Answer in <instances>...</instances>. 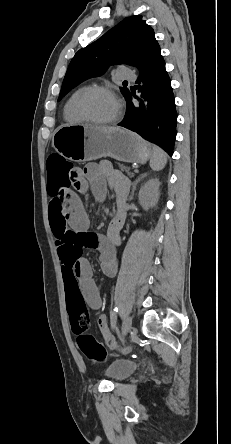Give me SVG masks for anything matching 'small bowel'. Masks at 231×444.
Listing matches in <instances>:
<instances>
[{
    "label": "small bowel",
    "mask_w": 231,
    "mask_h": 444,
    "mask_svg": "<svg viewBox=\"0 0 231 444\" xmlns=\"http://www.w3.org/2000/svg\"><path fill=\"white\" fill-rule=\"evenodd\" d=\"M71 187L81 193L90 188L98 199L103 198L109 189L115 192L118 210L105 234L89 231V218ZM126 193V181L113 172L107 163L91 164L79 170L78 176L71 179L70 187L63 192L60 201L52 199L49 205V222L62 265L66 293H79L94 310L101 307V298L91 266L83 257L82 250L90 248L99 251L103 273L115 275L117 246L121 242L120 231L125 218L123 204ZM97 325L104 337L112 341L105 315L98 316Z\"/></svg>",
    "instance_id": "small-bowel-1"
}]
</instances>
